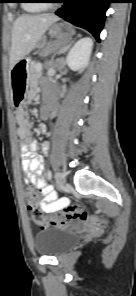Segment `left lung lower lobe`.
Masks as SVG:
<instances>
[{"label": "left lung lower lobe", "mask_w": 136, "mask_h": 296, "mask_svg": "<svg viewBox=\"0 0 136 296\" xmlns=\"http://www.w3.org/2000/svg\"><path fill=\"white\" fill-rule=\"evenodd\" d=\"M62 3L64 5L55 14L88 30L100 42V31L111 0H64Z\"/></svg>", "instance_id": "obj_1"}]
</instances>
